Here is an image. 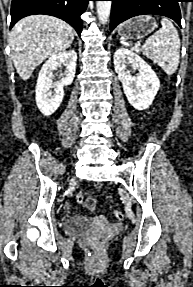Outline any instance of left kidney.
<instances>
[{
    "instance_id": "5707ae66",
    "label": "left kidney",
    "mask_w": 193,
    "mask_h": 287,
    "mask_svg": "<svg viewBox=\"0 0 193 287\" xmlns=\"http://www.w3.org/2000/svg\"><path fill=\"white\" fill-rule=\"evenodd\" d=\"M113 60L129 103L137 110L149 108L160 88V81L153 69L135 52L125 48L116 50ZM128 65L138 71L136 76L130 75L126 69Z\"/></svg>"
}]
</instances>
